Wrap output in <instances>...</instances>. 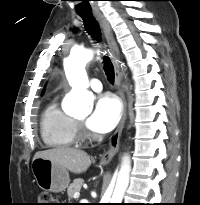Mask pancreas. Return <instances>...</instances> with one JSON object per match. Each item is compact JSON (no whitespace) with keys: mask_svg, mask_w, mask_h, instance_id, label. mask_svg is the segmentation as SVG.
<instances>
[{"mask_svg":"<svg viewBox=\"0 0 200 205\" xmlns=\"http://www.w3.org/2000/svg\"><path fill=\"white\" fill-rule=\"evenodd\" d=\"M83 182H84L83 179L77 178L73 181V183L70 184V186L67 189V194L69 199H72L74 193L79 192L81 190Z\"/></svg>","mask_w":200,"mask_h":205,"instance_id":"obj_1","label":"pancreas"}]
</instances>
